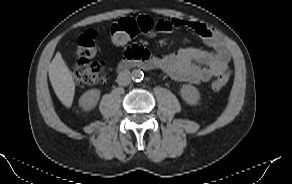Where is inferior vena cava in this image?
<instances>
[{
	"label": "inferior vena cava",
	"mask_w": 292,
	"mask_h": 184,
	"mask_svg": "<svg viewBox=\"0 0 292 184\" xmlns=\"http://www.w3.org/2000/svg\"><path fill=\"white\" fill-rule=\"evenodd\" d=\"M131 82V73L128 70L122 71L117 76V83L121 86H127Z\"/></svg>",
	"instance_id": "obj_1"
}]
</instances>
